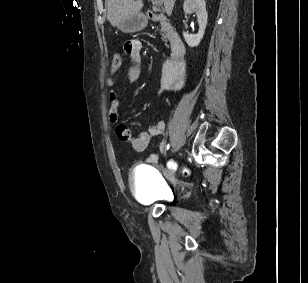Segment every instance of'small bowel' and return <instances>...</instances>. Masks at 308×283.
Instances as JSON below:
<instances>
[{
  "instance_id": "obj_1",
  "label": "small bowel",
  "mask_w": 308,
  "mask_h": 283,
  "mask_svg": "<svg viewBox=\"0 0 308 283\" xmlns=\"http://www.w3.org/2000/svg\"><path fill=\"white\" fill-rule=\"evenodd\" d=\"M124 51L127 53L133 66L128 71V79L131 83L139 80L141 75V61H142V44L139 40L132 39L124 44ZM106 84L109 88L114 89L117 85V77L115 72L107 79ZM184 85V66L182 63L174 64L172 61H168L162 70L161 75V88L157 92L161 95L165 92H178ZM119 107L118 94L116 91L111 90L109 93V121L112 124H117L116 135L124 142L131 144L132 148L137 152L144 151L149 143L150 139L154 136H162L165 130L164 121H159L155 124L148 126L147 130L138 134H133L132 131L125 124L118 123L119 120ZM166 145L162 140L159 143V150L163 151ZM149 163L156 162V155H151L148 160Z\"/></svg>"
}]
</instances>
